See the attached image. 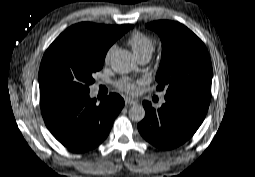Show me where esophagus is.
Instances as JSON below:
<instances>
[{
    "instance_id": "esophagus-1",
    "label": "esophagus",
    "mask_w": 255,
    "mask_h": 177,
    "mask_svg": "<svg viewBox=\"0 0 255 177\" xmlns=\"http://www.w3.org/2000/svg\"><path fill=\"white\" fill-rule=\"evenodd\" d=\"M137 102H138L137 100L132 99V98H130V97H126V98H125V104H130V105H132V104H136Z\"/></svg>"
}]
</instances>
